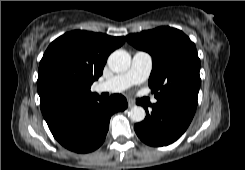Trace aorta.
Wrapping results in <instances>:
<instances>
[{"mask_svg":"<svg viewBox=\"0 0 245 170\" xmlns=\"http://www.w3.org/2000/svg\"><path fill=\"white\" fill-rule=\"evenodd\" d=\"M131 65V56L125 50H116L108 58V66L114 72H125ZM130 119L134 122H141L145 119L146 113L143 107L133 106L129 113Z\"/></svg>","mask_w":245,"mask_h":170,"instance_id":"aorta-1","label":"aorta"}]
</instances>
